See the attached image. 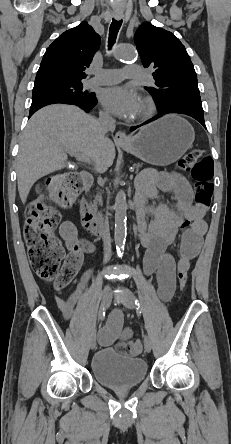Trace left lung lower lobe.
Wrapping results in <instances>:
<instances>
[{"label":"left lung lower lobe","mask_w":231,"mask_h":444,"mask_svg":"<svg viewBox=\"0 0 231 444\" xmlns=\"http://www.w3.org/2000/svg\"><path fill=\"white\" fill-rule=\"evenodd\" d=\"M166 113H172V112H161L160 115H163V114H166ZM176 113L189 115V116L193 117L194 119H196L197 121H199V122L205 127L204 114H203V113L194 112V111H178V112H176ZM160 115L157 116V117H154V118L150 119L149 121H147V122L144 123V124H147V123H149V122H152V121L158 119V118L160 117ZM140 126H141V125H140ZM138 127H139V126L131 127L130 130L133 131V130H135V129L138 128ZM205 128H206V127H205Z\"/></svg>","instance_id":"obj_1"}]
</instances>
